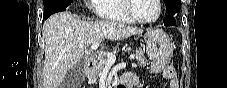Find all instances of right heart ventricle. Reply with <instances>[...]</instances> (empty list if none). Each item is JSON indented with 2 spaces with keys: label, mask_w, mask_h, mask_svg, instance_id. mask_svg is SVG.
<instances>
[{
  "label": "right heart ventricle",
  "mask_w": 227,
  "mask_h": 88,
  "mask_svg": "<svg viewBox=\"0 0 227 88\" xmlns=\"http://www.w3.org/2000/svg\"><path fill=\"white\" fill-rule=\"evenodd\" d=\"M126 0H92V8L101 19L132 23L124 10Z\"/></svg>",
  "instance_id": "1"
}]
</instances>
